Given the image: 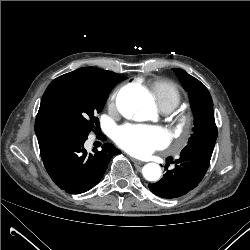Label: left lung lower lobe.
<instances>
[{"label": "left lung lower lobe", "mask_w": 250, "mask_h": 250, "mask_svg": "<svg viewBox=\"0 0 250 250\" xmlns=\"http://www.w3.org/2000/svg\"><path fill=\"white\" fill-rule=\"evenodd\" d=\"M216 138L189 143L175 161V168L168 170L163 178L154 184H149L150 190L162 198H176L193 189L204 177L213 153Z\"/></svg>", "instance_id": "0a47b994"}]
</instances>
